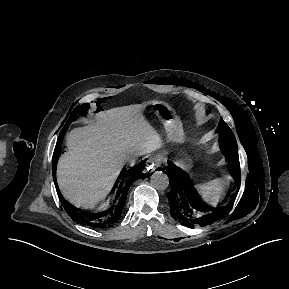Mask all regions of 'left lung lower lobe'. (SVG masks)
<instances>
[{
  "mask_svg": "<svg viewBox=\"0 0 289 289\" xmlns=\"http://www.w3.org/2000/svg\"><path fill=\"white\" fill-rule=\"evenodd\" d=\"M236 165L235 180L239 182L240 166ZM166 174L169 183L172 185L167 197L170 203L171 216L179 220L182 225L193 228L194 226H207L220 219L230 208L231 202L222 208H213L206 205L195 188L193 187L188 174L177 166L167 167Z\"/></svg>",
  "mask_w": 289,
  "mask_h": 289,
  "instance_id": "obj_1",
  "label": "left lung lower lobe"
}]
</instances>
